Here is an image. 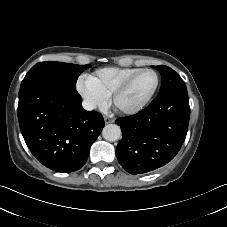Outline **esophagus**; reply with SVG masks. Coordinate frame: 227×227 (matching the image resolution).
<instances>
[{"mask_svg": "<svg viewBox=\"0 0 227 227\" xmlns=\"http://www.w3.org/2000/svg\"><path fill=\"white\" fill-rule=\"evenodd\" d=\"M104 121L106 124H110L114 122V119L110 118V117H104Z\"/></svg>", "mask_w": 227, "mask_h": 227, "instance_id": "esophagus-1", "label": "esophagus"}]
</instances>
